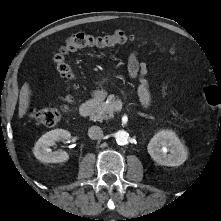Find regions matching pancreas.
<instances>
[{"label": "pancreas", "mask_w": 221, "mask_h": 221, "mask_svg": "<svg viewBox=\"0 0 221 221\" xmlns=\"http://www.w3.org/2000/svg\"><path fill=\"white\" fill-rule=\"evenodd\" d=\"M105 98L106 94H100L93 99L94 108L90 116L92 120L101 121L113 117L118 97L111 94L107 97V102L104 101Z\"/></svg>", "instance_id": "1"}]
</instances>
